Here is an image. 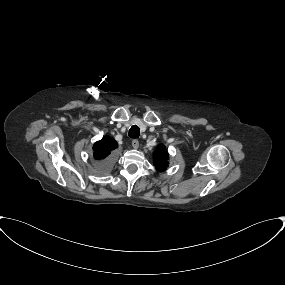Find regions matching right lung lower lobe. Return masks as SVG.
I'll return each mask as SVG.
<instances>
[{"label": "right lung lower lobe", "mask_w": 285, "mask_h": 285, "mask_svg": "<svg viewBox=\"0 0 285 285\" xmlns=\"http://www.w3.org/2000/svg\"><path fill=\"white\" fill-rule=\"evenodd\" d=\"M108 167H109V165L106 163V164H104V166H103V168H102V170L100 171V172H105V171H107L108 170Z\"/></svg>", "instance_id": "obj_1"}]
</instances>
